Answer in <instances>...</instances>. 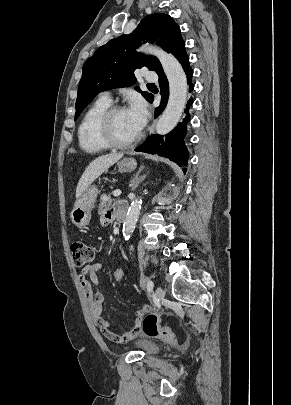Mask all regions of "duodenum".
Instances as JSON below:
<instances>
[{
    "label": "duodenum",
    "mask_w": 291,
    "mask_h": 405,
    "mask_svg": "<svg viewBox=\"0 0 291 405\" xmlns=\"http://www.w3.org/2000/svg\"><path fill=\"white\" fill-rule=\"evenodd\" d=\"M117 218L120 221L125 220V218H126V206L125 205H121V206L118 207V209H117Z\"/></svg>",
    "instance_id": "410a0bca"
}]
</instances>
